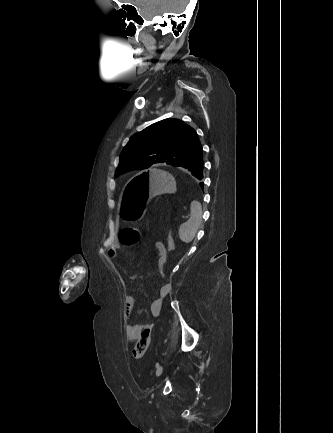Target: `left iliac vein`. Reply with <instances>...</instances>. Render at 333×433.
<instances>
[{
	"label": "left iliac vein",
	"mask_w": 333,
	"mask_h": 433,
	"mask_svg": "<svg viewBox=\"0 0 333 433\" xmlns=\"http://www.w3.org/2000/svg\"><path fill=\"white\" fill-rule=\"evenodd\" d=\"M162 371H163V367H162V366H159V367L156 369V376H157V377L160 376L161 373H162Z\"/></svg>",
	"instance_id": "left-iliac-vein-1"
}]
</instances>
